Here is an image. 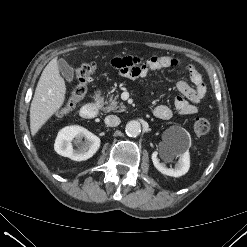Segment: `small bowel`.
Listing matches in <instances>:
<instances>
[{
    "mask_svg": "<svg viewBox=\"0 0 247 247\" xmlns=\"http://www.w3.org/2000/svg\"><path fill=\"white\" fill-rule=\"evenodd\" d=\"M111 64L122 76L130 79L145 78L151 71L181 66L180 60L173 56H152L148 59L123 56L114 58ZM187 69L190 81L194 87L190 86L184 80L177 83V89L180 95L175 98L174 107L181 115H193L197 113V105L205 97L207 91L198 70L193 65H189ZM153 113L157 118L162 120H168L173 116L172 109L167 105L156 106Z\"/></svg>",
    "mask_w": 247,
    "mask_h": 247,
    "instance_id": "1",
    "label": "small bowel"
}]
</instances>
